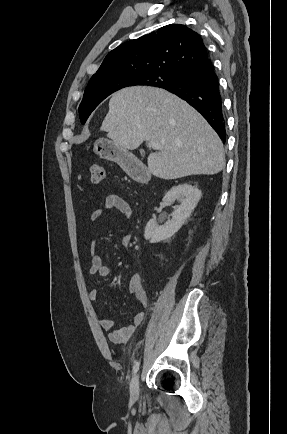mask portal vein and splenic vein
<instances>
[{
  "mask_svg": "<svg viewBox=\"0 0 287 434\" xmlns=\"http://www.w3.org/2000/svg\"><path fill=\"white\" fill-rule=\"evenodd\" d=\"M150 147L152 149L158 150L159 149V143L154 142V141H150Z\"/></svg>",
  "mask_w": 287,
  "mask_h": 434,
  "instance_id": "1",
  "label": "portal vein and splenic vein"
}]
</instances>
